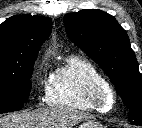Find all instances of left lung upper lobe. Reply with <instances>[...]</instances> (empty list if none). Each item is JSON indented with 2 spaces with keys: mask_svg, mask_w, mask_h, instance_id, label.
I'll return each instance as SVG.
<instances>
[{
  "mask_svg": "<svg viewBox=\"0 0 142 128\" xmlns=\"http://www.w3.org/2000/svg\"><path fill=\"white\" fill-rule=\"evenodd\" d=\"M64 24L68 37L115 85L130 110L129 121L142 125V76L126 31L113 16L97 9L66 14Z\"/></svg>",
  "mask_w": 142,
  "mask_h": 128,
  "instance_id": "5c2ea615",
  "label": "left lung upper lobe"
}]
</instances>
